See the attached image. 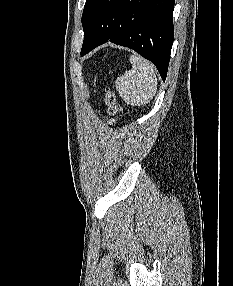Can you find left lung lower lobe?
<instances>
[{
  "label": "left lung lower lobe",
  "mask_w": 233,
  "mask_h": 286,
  "mask_svg": "<svg viewBox=\"0 0 233 286\" xmlns=\"http://www.w3.org/2000/svg\"><path fill=\"white\" fill-rule=\"evenodd\" d=\"M175 0H95L83 27L81 56L111 41L131 48L167 76Z\"/></svg>",
  "instance_id": "obj_1"
}]
</instances>
